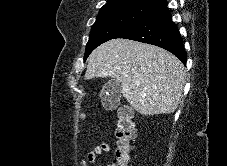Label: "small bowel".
I'll use <instances>...</instances> for the list:
<instances>
[{"instance_id":"1","label":"small bowel","mask_w":227,"mask_h":166,"mask_svg":"<svg viewBox=\"0 0 227 166\" xmlns=\"http://www.w3.org/2000/svg\"><path fill=\"white\" fill-rule=\"evenodd\" d=\"M110 149V144L107 142L101 143L100 145H96L89 149L82 160V166H86L87 163L94 164L95 166H103L99 161V157L108 153Z\"/></svg>"}]
</instances>
